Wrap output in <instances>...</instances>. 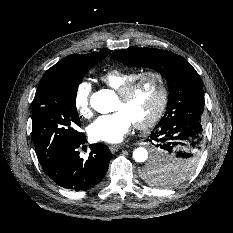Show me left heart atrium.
<instances>
[{
    "mask_svg": "<svg viewBox=\"0 0 233 233\" xmlns=\"http://www.w3.org/2000/svg\"><path fill=\"white\" fill-rule=\"evenodd\" d=\"M133 123L127 112L118 109L98 117L88 127V134L94 141L117 143L124 139Z\"/></svg>",
    "mask_w": 233,
    "mask_h": 233,
    "instance_id": "left-heart-atrium-1",
    "label": "left heart atrium"
}]
</instances>
